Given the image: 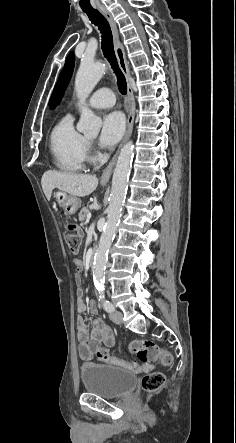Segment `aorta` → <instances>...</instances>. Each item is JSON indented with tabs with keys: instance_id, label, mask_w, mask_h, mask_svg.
<instances>
[{
	"instance_id": "aorta-1",
	"label": "aorta",
	"mask_w": 236,
	"mask_h": 443,
	"mask_svg": "<svg viewBox=\"0 0 236 443\" xmlns=\"http://www.w3.org/2000/svg\"><path fill=\"white\" fill-rule=\"evenodd\" d=\"M105 70V64L83 60L75 78V91L81 109L77 130L91 137H96L99 134L102 120L85 106V100L100 81ZM133 147L132 141L127 142L123 146L113 171L107 221L94 256L93 280L98 287L103 286L104 283V271L108 260V252L125 202L127 183L133 158Z\"/></svg>"
}]
</instances>
